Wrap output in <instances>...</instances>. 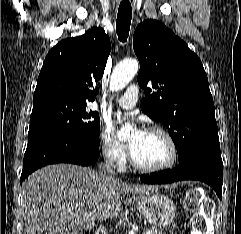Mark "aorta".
Listing matches in <instances>:
<instances>
[{"label": "aorta", "instance_id": "obj_1", "mask_svg": "<svg viewBox=\"0 0 241 234\" xmlns=\"http://www.w3.org/2000/svg\"><path fill=\"white\" fill-rule=\"evenodd\" d=\"M138 61L135 59L125 60L119 63L113 70L110 80V89L112 91H119L123 89L138 72ZM133 130L131 125L123 126L117 136L119 139H126L130 137Z\"/></svg>", "mask_w": 241, "mask_h": 234}]
</instances>
